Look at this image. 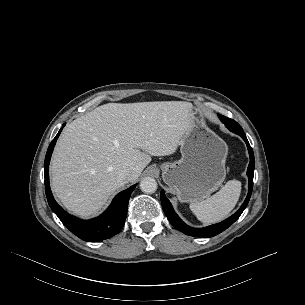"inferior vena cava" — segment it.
<instances>
[{"mask_svg": "<svg viewBox=\"0 0 305 305\" xmlns=\"http://www.w3.org/2000/svg\"><path fill=\"white\" fill-rule=\"evenodd\" d=\"M131 171L129 169H122L119 172V178L122 182L127 183L131 178Z\"/></svg>", "mask_w": 305, "mask_h": 305, "instance_id": "obj_1", "label": "inferior vena cava"}]
</instances>
